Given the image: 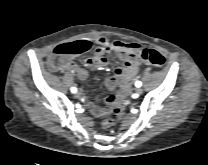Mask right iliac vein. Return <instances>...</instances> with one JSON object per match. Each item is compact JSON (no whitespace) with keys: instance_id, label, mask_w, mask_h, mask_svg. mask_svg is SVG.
I'll list each match as a JSON object with an SVG mask.
<instances>
[{"instance_id":"right-iliac-vein-1","label":"right iliac vein","mask_w":208,"mask_h":165,"mask_svg":"<svg viewBox=\"0 0 208 165\" xmlns=\"http://www.w3.org/2000/svg\"><path fill=\"white\" fill-rule=\"evenodd\" d=\"M80 96H81V93H80V92H77V93L75 94V97H76V98H80Z\"/></svg>"}]
</instances>
